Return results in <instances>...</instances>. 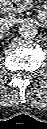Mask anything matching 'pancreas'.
I'll use <instances>...</instances> for the list:
<instances>
[{
  "label": "pancreas",
  "mask_w": 47,
  "mask_h": 129,
  "mask_svg": "<svg viewBox=\"0 0 47 129\" xmlns=\"http://www.w3.org/2000/svg\"><path fill=\"white\" fill-rule=\"evenodd\" d=\"M17 2L20 4L18 11L23 12L28 9L30 0H17Z\"/></svg>",
  "instance_id": "cf45deb5"
}]
</instances>
